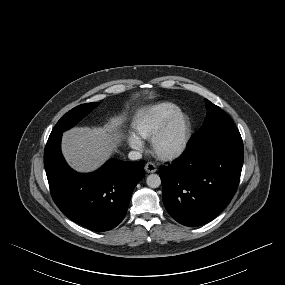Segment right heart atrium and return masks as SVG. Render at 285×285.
I'll return each mask as SVG.
<instances>
[{
	"instance_id": "1",
	"label": "right heart atrium",
	"mask_w": 285,
	"mask_h": 285,
	"mask_svg": "<svg viewBox=\"0 0 285 285\" xmlns=\"http://www.w3.org/2000/svg\"><path fill=\"white\" fill-rule=\"evenodd\" d=\"M128 140L130 145L135 148V149H141L143 142L141 140L140 137H138L137 135H135L134 133H130L128 136Z\"/></svg>"
}]
</instances>
